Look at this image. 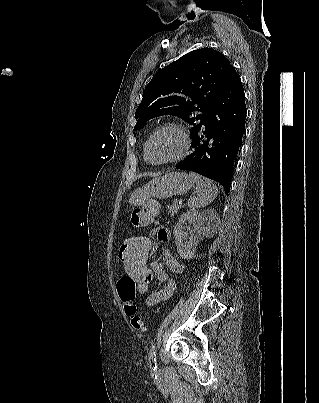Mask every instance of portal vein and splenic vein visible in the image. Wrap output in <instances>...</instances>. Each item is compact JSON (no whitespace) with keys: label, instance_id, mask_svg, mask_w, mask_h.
Instances as JSON below:
<instances>
[{"label":"portal vein and splenic vein","instance_id":"1","mask_svg":"<svg viewBox=\"0 0 319 403\" xmlns=\"http://www.w3.org/2000/svg\"><path fill=\"white\" fill-rule=\"evenodd\" d=\"M175 202H176L177 204H179V205H181V204H182V200H181V199H179V200H175Z\"/></svg>","mask_w":319,"mask_h":403}]
</instances>
